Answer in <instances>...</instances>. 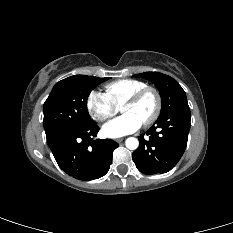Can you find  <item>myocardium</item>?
<instances>
[{
  "label": "myocardium",
  "mask_w": 233,
  "mask_h": 233,
  "mask_svg": "<svg viewBox=\"0 0 233 233\" xmlns=\"http://www.w3.org/2000/svg\"><path fill=\"white\" fill-rule=\"evenodd\" d=\"M152 93L156 100L155 111L152 116L142 123L143 126L147 127L152 125L159 118L162 111V99L159 91L153 87H145L143 89L138 90L134 94H132L129 98H127L124 103L121 105V109L125 106L136 104L141 98H143L146 94Z\"/></svg>",
  "instance_id": "1"
}]
</instances>
